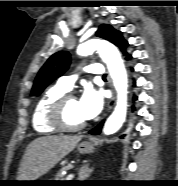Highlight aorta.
Wrapping results in <instances>:
<instances>
[{"instance_id":"aorta-1","label":"aorta","mask_w":178,"mask_h":186,"mask_svg":"<svg viewBox=\"0 0 178 186\" xmlns=\"http://www.w3.org/2000/svg\"><path fill=\"white\" fill-rule=\"evenodd\" d=\"M96 50L102 60L107 64L114 87L117 91L116 107L107 119L103 128L105 135H111L121 128L126 118L128 88L127 72L117 48L105 40H89L78 46L77 54L80 56H87Z\"/></svg>"}]
</instances>
